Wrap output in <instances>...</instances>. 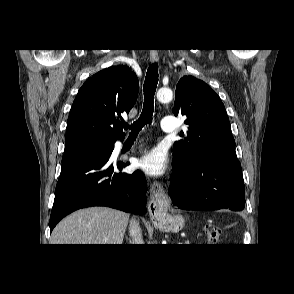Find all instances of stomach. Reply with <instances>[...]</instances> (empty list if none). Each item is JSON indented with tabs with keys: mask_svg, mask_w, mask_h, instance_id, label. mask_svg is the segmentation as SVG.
Returning <instances> with one entry per match:
<instances>
[{
	"mask_svg": "<svg viewBox=\"0 0 294 294\" xmlns=\"http://www.w3.org/2000/svg\"><path fill=\"white\" fill-rule=\"evenodd\" d=\"M184 225V219L180 215L166 214L161 219L159 227L166 228L172 232L179 231Z\"/></svg>",
	"mask_w": 294,
	"mask_h": 294,
	"instance_id": "stomach-1",
	"label": "stomach"
}]
</instances>
